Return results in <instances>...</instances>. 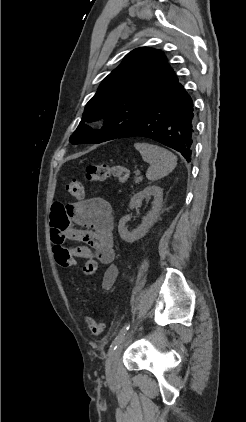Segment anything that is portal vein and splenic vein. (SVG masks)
<instances>
[{"label":"portal vein and splenic vein","mask_w":246,"mask_h":422,"mask_svg":"<svg viewBox=\"0 0 246 422\" xmlns=\"http://www.w3.org/2000/svg\"><path fill=\"white\" fill-rule=\"evenodd\" d=\"M139 174H140V171H137V172H136V175H139Z\"/></svg>","instance_id":"portal-vein-and-splenic-vein-1"}]
</instances>
